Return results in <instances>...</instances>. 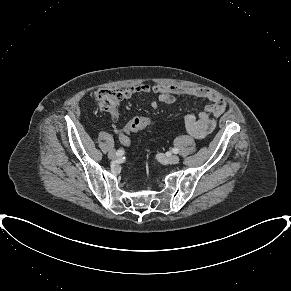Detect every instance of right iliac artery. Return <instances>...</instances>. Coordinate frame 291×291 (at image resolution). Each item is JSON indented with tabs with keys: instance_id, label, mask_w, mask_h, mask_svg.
Segmentation results:
<instances>
[{
	"instance_id": "obj_1",
	"label": "right iliac artery",
	"mask_w": 291,
	"mask_h": 291,
	"mask_svg": "<svg viewBox=\"0 0 291 291\" xmlns=\"http://www.w3.org/2000/svg\"><path fill=\"white\" fill-rule=\"evenodd\" d=\"M116 154L118 156H122L124 154V150L123 149H119L118 151H116Z\"/></svg>"
}]
</instances>
